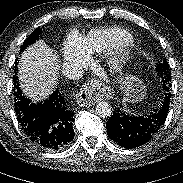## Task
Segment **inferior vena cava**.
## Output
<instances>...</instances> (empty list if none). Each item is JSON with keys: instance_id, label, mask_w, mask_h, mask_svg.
<instances>
[{"instance_id": "602c4592", "label": "inferior vena cava", "mask_w": 183, "mask_h": 183, "mask_svg": "<svg viewBox=\"0 0 183 183\" xmlns=\"http://www.w3.org/2000/svg\"><path fill=\"white\" fill-rule=\"evenodd\" d=\"M62 73L65 77L74 80L82 76L83 70L77 63L68 62L63 65Z\"/></svg>"}]
</instances>
